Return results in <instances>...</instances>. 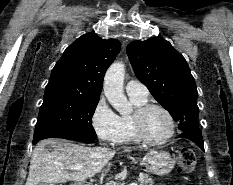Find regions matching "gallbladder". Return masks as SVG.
Returning a JSON list of instances; mask_svg holds the SVG:
<instances>
[{
	"instance_id": "1",
	"label": "gallbladder",
	"mask_w": 233,
	"mask_h": 185,
	"mask_svg": "<svg viewBox=\"0 0 233 185\" xmlns=\"http://www.w3.org/2000/svg\"><path fill=\"white\" fill-rule=\"evenodd\" d=\"M38 185H52V184H47V183H39ZM54 185V184H53Z\"/></svg>"
}]
</instances>
